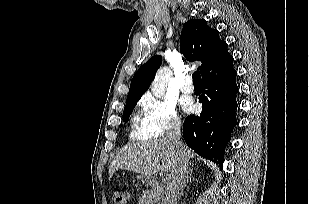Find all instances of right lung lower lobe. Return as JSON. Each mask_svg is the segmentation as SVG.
Masks as SVG:
<instances>
[{
	"label": "right lung lower lobe",
	"mask_w": 309,
	"mask_h": 204,
	"mask_svg": "<svg viewBox=\"0 0 309 204\" xmlns=\"http://www.w3.org/2000/svg\"><path fill=\"white\" fill-rule=\"evenodd\" d=\"M237 73L233 65L203 80L202 112L183 124L186 144L203 158L222 165L225 147L236 125Z\"/></svg>",
	"instance_id": "98d812e1"
}]
</instances>
